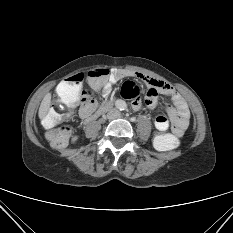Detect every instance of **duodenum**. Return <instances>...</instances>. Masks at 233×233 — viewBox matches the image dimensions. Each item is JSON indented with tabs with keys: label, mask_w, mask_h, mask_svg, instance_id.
Instances as JSON below:
<instances>
[{
	"label": "duodenum",
	"mask_w": 233,
	"mask_h": 233,
	"mask_svg": "<svg viewBox=\"0 0 233 233\" xmlns=\"http://www.w3.org/2000/svg\"><path fill=\"white\" fill-rule=\"evenodd\" d=\"M109 106H110V103H109V102H106V103L102 106V108L100 109V112H103V111L107 110V109L109 108Z\"/></svg>",
	"instance_id": "obj_1"
}]
</instances>
